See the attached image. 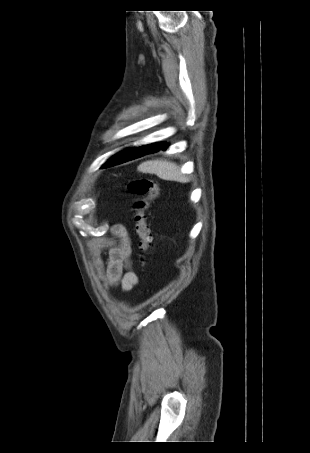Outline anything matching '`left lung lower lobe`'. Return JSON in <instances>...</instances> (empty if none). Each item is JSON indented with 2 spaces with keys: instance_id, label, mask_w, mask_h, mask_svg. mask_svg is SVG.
<instances>
[{
  "instance_id": "obj_1",
  "label": "left lung lower lobe",
  "mask_w": 310,
  "mask_h": 453,
  "mask_svg": "<svg viewBox=\"0 0 310 453\" xmlns=\"http://www.w3.org/2000/svg\"><path fill=\"white\" fill-rule=\"evenodd\" d=\"M167 147H168V144H165V143H155V144L147 145V146L141 148L140 151L137 154H135V156L132 159L144 156L146 154L154 153L159 150H166Z\"/></svg>"
}]
</instances>
